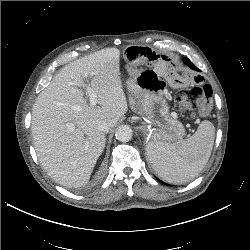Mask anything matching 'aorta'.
Here are the masks:
<instances>
[{
    "instance_id": "762f6f07",
    "label": "aorta",
    "mask_w": 250,
    "mask_h": 250,
    "mask_svg": "<svg viewBox=\"0 0 250 250\" xmlns=\"http://www.w3.org/2000/svg\"><path fill=\"white\" fill-rule=\"evenodd\" d=\"M116 139L120 142H128L133 136V131L128 125H121L115 132Z\"/></svg>"
}]
</instances>
